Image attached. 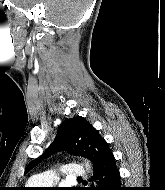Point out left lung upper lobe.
<instances>
[{"mask_svg": "<svg viewBox=\"0 0 165 190\" xmlns=\"http://www.w3.org/2000/svg\"><path fill=\"white\" fill-rule=\"evenodd\" d=\"M63 150L90 159L93 166L111 154L108 143L98 131L85 118L77 116L61 123L53 143L41 157L27 165L25 174L43 159Z\"/></svg>", "mask_w": 165, "mask_h": 190, "instance_id": "5c2ea615", "label": "left lung upper lobe"}]
</instances>
